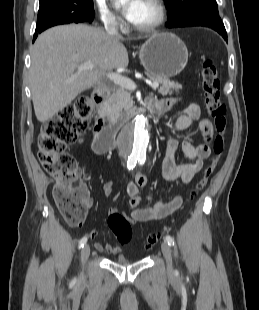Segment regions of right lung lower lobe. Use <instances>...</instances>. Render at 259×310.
I'll list each match as a JSON object with an SVG mask.
<instances>
[{
  "label": "right lung lower lobe",
  "mask_w": 259,
  "mask_h": 310,
  "mask_svg": "<svg viewBox=\"0 0 259 310\" xmlns=\"http://www.w3.org/2000/svg\"><path fill=\"white\" fill-rule=\"evenodd\" d=\"M94 15H92L89 19L84 20V21H79V22H74V23H83V22H87V21H91L93 19ZM68 23H73V21H67V20H54L52 22H50L49 24H47L46 26H44L41 29L36 30L34 36H33V41H35L36 37L38 36L39 33L43 32L44 30H46L47 28H50L52 26L55 25H60V24H68Z\"/></svg>",
  "instance_id": "right-lung-lower-lobe-1"
}]
</instances>
